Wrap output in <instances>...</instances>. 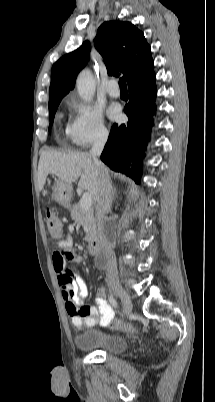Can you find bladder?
I'll use <instances>...</instances> for the list:
<instances>
[{"label": "bladder", "mask_w": 215, "mask_h": 402, "mask_svg": "<svg viewBox=\"0 0 215 402\" xmlns=\"http://www.w3.org/2000/svg\"><path fill=\"white\" fill-rule=\"evenodd\" d=\"M74 342L81 351H95L108 355L120 354L128 347V341L125 337L98 330H88L80 333L75 337Z\"/></svg>", "instance_id": "31cf9c89"}]
</instances>
